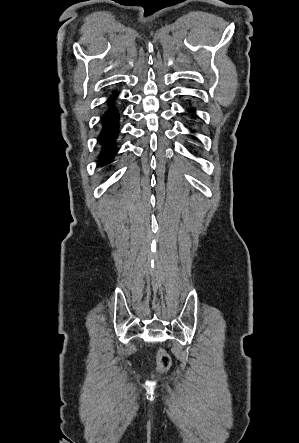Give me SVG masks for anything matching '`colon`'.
Segmentation results:
<instances>
[{
	"label": "colon",
	"mask_w": 299,
	"mask_h": 443,
	"mask_svg": "<svg viewBox=\"0 0 299 443\" xmlns=\"http://www.w3.org/2000/svg\"><path fill=\"white\" fill-rule=\"evenodd\" d=\"M157 363H158V372L160 374L166 373L171 365V360L169 355L162 349H159L157 352Z\"/></svg>",
	"instance_id": "obj_1"
}]
</instances>
